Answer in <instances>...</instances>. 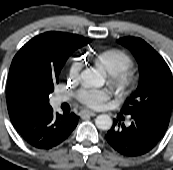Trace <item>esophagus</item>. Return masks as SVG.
<instances>
[{
  "label": "esophagus",
  "instance_id": "obj_1",
  "mask_svg": "<svg viewBox=\"0 0 173 170\" xmlns=\"http://www.w3.org/2000/svg\"><path fill=\"white\" fill-rule=\"evenodd\" d=\"M88 114H89L90 116H95V115H96V113L93 112V111H89Z\"/></svg>",
  "mask_w": 173,
  "mask_h": 170
}]
</instances>
